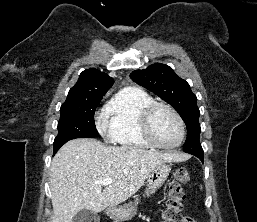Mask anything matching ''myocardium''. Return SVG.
Instances as JSON below:
<instances>
[{
    "label": "myocardium",
    "mask_w": 257,
    "mask_h": 222,
    "mask_svg": "<svg viewBox=\"0 0 257 222\" xmlns=\"http://www.w3.org/2000/svg\"><path fill=\"white\" fill-rule=\"evenodd\" d=\"M159 108H165L168 111L172 113V115L176 118L179 128H180V137L177 143L173 145H164L158 142L153 134L152 127H151V120L154 115V113ZM140 129L143 138L152 146L159 149L164 150H173L182 145L185 139L186 135V128H185V122L182 118V116L179 114V112L170 104L164 103V102H153L149 104L142 112L140 117Z\"/></svg>",
    "instance_id": "myocardium-1"
}]
</instances>
